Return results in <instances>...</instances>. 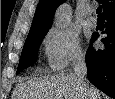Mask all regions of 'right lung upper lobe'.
<instances>
[{"label": "right lung upper lobe", "instance_id": "cb5924a9", "mask_svg": "<svg viewBox=\"0 0 115 99\" xmlns=\"http://www.w3.org/2000/svg\"><path fill=\"white\" fill-rule=\"evenodd\" d=\"M65 0H40L28 36L48 32L55 10ZM103 15L115 9V0H101Z\"/></svg>", "mask_w": 115, "mask_h": 99}]
</instances>
